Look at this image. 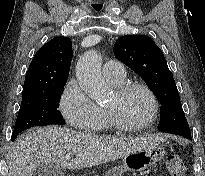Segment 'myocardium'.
I'll return each mask as SVG.
<instances>
[{
	"instance_id": "f54148a6",
	"label": "myocardium",
	"mask_w": 205,
	"mask_h": 176,
	"mask_svg": "<svg viewBox=\"0 0 205 176\" xmlns=\"http://www.w3.org/2000/svg\"><path fill=\"white\" fill-rule=\"evenodd\" d=\"M135 90H141L148 95L152 104V111L150 117L144 122L138 124H132L126 122L115 107H107V110L113 120V124L118 130L121 131L141 130L153 125L158 118L159 115L158 98L156 94L153 92V90L147 85H145L144 83L130 82V83L123 84L121 87L117 88L116 94L119 98H122Z\"/></svg>"
}]
</instances>
